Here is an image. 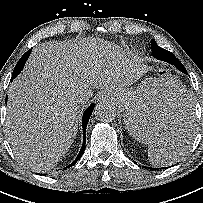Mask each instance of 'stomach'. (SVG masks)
<instances>
[{
    "instance_id": "stomach-1",
    "label": "stomach",
    "mask_w": 203,
    "mask_h": 203,
    "mask_svg": "<svg viewBox=\"0 0 203 203\" xmlns=\"http://www.w3.org/2000/svg\"><path fill=\"white\" fill-rule=\"evenodd\" d=\"M150 82L146 83L144 91L147 90V88L150 86ZM141 95L140 92L137 90H133V89H129V90H125L123 92H119L117 93L111 100L119 105H121L122 107H124L126 109V114H125V123L128 126V121H130L132 115L134 114V111L141 99ZM151 122L153 124V126L157 125L158 123V115L154 114L151 115L150 117ZM139 130H135V132H138ZM145 140H148V137L145 136L144 137Z\"/></svg>"
}]
</instances>
